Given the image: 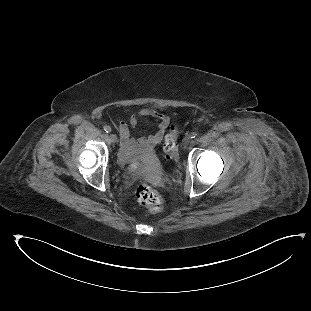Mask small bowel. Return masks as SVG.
I'll list each match as a JSON object with an SVG mask.
<instances>
[{
	"label": "small bowel",
	"mask_w": 311,
	"mask_h": 311,
	"mask_svg": "<svg viewBox=\"0 0 311 311\" xmlns=\"http://www.w3.org/2000/svg\"><path fill=\"white\" fill-rule=\"evenodd\" d=\"M150 117L156 122L157 129L153 134L134 138L131 130L137 125L139 119ZM170 117L156 107H144L132 114L127 122L119 124L121 146L123 154L127 155L132 150H153L164 138L168 128Z\"/></svg>",
	"instance_id": "1"
}]
</instances>
